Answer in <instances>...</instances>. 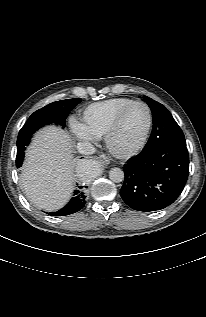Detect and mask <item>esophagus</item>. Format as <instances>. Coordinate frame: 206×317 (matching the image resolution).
I'll use <instances>...</instances> for the list:
<instances>
[{
	"label": "esophagus",
	"mask_w": 206,
	"mask_h": 317,
	"mask_svg": "<svg viewBox=\"0 0 206 317\" xmlns=\"http://www.w3.org/2000/svg\"><path fill=\"white\" fill-rule=\"evenodd\" d=\"M99 159V163L102 165L108 164V161L104 158V156L97 157Z\"/></svg>",
	"instance_id": "1"
}]
</instances>
